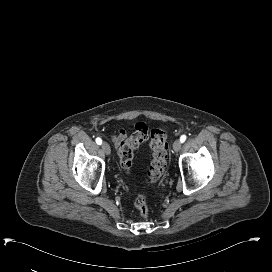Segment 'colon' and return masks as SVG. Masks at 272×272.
<instances>
[{"label":"colon","mask_w":272,"mask_h":272,"mask_svg":"<svg viewBox=\"0 0 272 272\" xmlns=\"http://www.w3.org/2000/svg\"><path fill=\"white\" fill-rule=\"evenodd\" d=\"M147 140L150 141L153 158L146 181L148 183H153L164 174L167 166L168 142L166 133L162 129H150L144 122L136 123L133 134L131 137L120 143L118 152L121 167L128 173L132 167L135 149ZM134 207L141 217H147L149 214V204L146 197L143 195H139L135 199Z\"/></svg>","instance_id":"1"}]
</instances>
